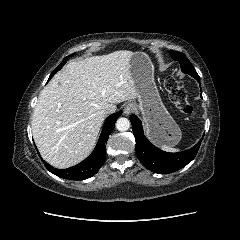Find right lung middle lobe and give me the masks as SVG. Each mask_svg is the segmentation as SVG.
I'll return each mask as SVG.
<instances>
[{"mask_svg": "<svg viewBox=\"0 0 240 240\" xmlns=\"http://www.w3.org/2000/svg\"><path fill=\"white\" fill-rule=\"evenodd\" d=\"M72 55H74V54H72ZM72 55H70V56H68V57H71ZM66 59H67V57L66 58H64V60L62 61V63L53 71V73L50 75V77H49V80L53 77V75L57 72V71H59L61 68H62V66L66 63Z\"/></svg>", "mask_w": 240, "mask_h": 240, "instance_id": "dd1d6c3e", "label": "right lung middle lobe"}]
</instances>
